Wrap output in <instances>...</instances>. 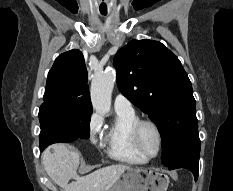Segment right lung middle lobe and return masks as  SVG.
Masks as SVG:
<instances>
[{"label": "right lung middle lobe", "instance_id": "1", "mask_svg": "<svg viewBox=\"0 0 233 191\" xmlns=\"http://www.w3.org/2000/svg\"><path fill=\"white\" fill-rule=\"evenodd\" d=\"M92 110L72 109L58 104H42L39 111L40 147L56 142H72L89 138Z\"/></svg>", "mask_w": 233, "mask_h": 191}]
</instances>
